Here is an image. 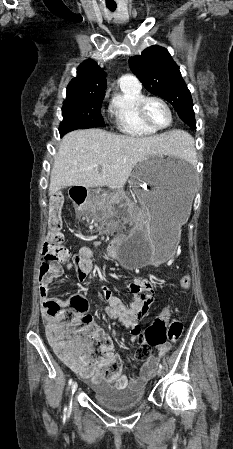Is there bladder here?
I'll return each instance as SVG.
<instances>
[{
    "instance_id": "obj_1",
    "label": "bladder",
    "mask_w": 233,
    "mask_h": 449,
    "mask_svg": "<svg viewBox=\"0 0 233 449\" xmlns=\"http://www.w3.org/2000/svg\"><path fill=\"white\" fill-rule=\"evenodd\" d=\"M92 394L97 404L110 411H125L136 408L144 401V388L130 386L119 389L106 383L92 385Z\"/></svg>"
}]
</instances>
